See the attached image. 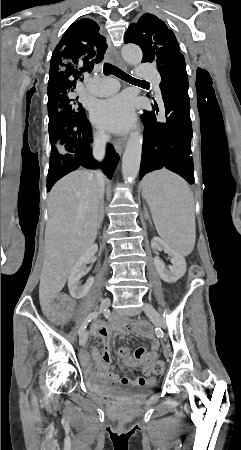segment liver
Masks as SVG:
<instances>
[{"mask_svg":"<svg viewBox=\"0 0 241 450\" xmlns=\"http://www.w3.org/2000/svg\"><path fill=\"white\" fill-rule=\"evenodd\" d=\"M45 258L39 300L47 306L61 292L76 260L95 242L98 230L99 182L88 170L61 178L48 198Z\"/></svg>","mask_w":241,"mask_h":450,"instance_id":"1","label":"liver"}]
</instances>
